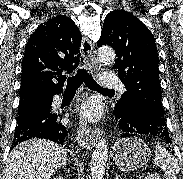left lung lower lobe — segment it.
<instances>
[{
	"label": "left lung lower lobe",
	"mask_w": 183,
	"mask_h": 179,
	"mask_svg": "<svg viewBox=\"0 0 183 179\" xmlns=\"http://www.w3.org/2000/svg\"><path fill=\"white\" fill-rule=\"evenodd\" d=\"M120 138L136 135L154 136L171 143L166 127L157 126L134 111H114Z\"/></svg>",
	"instance_id": "obj_1"
}]
</instances>
